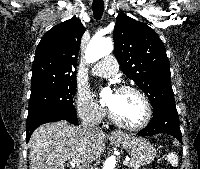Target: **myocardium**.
Returning a JSON list of instances; mask_svg holds the SVG:
<instances>
[{
	"mask_svg": "<svg viewBox=\"0 0 200 169\" xmlns=\"http://www.w3.org/2000/svg\"><path fill=\"white\" fill-rule=\"evenodd\" d=\"M116 91L118 92H124V91H131L136 93L143 101L145 108H146V115L145 118L143 120V122H141L138 125H129L126 124L124 122H122L114 113V111L108 107V112H109V117L111 119V121L116 124L117 126L126 129V130H130V131H139L144 129L146 126H148V124L150 123L151 119H152V115H153V111H152V106L151 103L147 97V95L137 86L134 85H122L119 86Z\"/></svg>",
	"mask_w": 200,
	"mask_h": 169,
	"instance_id": "myocardium-1",
	"label": "myocardium"
}]
</instances>
